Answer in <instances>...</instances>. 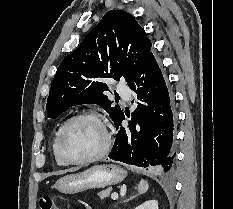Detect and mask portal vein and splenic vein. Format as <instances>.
Wrapping results in <instances>:
<instances>
[{
  "label": "portal vein and splenic vein",
  "instance_id": "18ae733b",
  "mask_svg": "<svg viewBox=\"0 0 233 209\" xmlns=\"http://www.w3.org/2000/svg\"><path fill=\"white\" fill-rule=\"evenodd\" d=\"M111 198H112L113 200H117V199H118V194H117V193L111 194Z\"/></svg>",
  "mask_w": 233,
  "mask_h": 209
}]
</instances>
